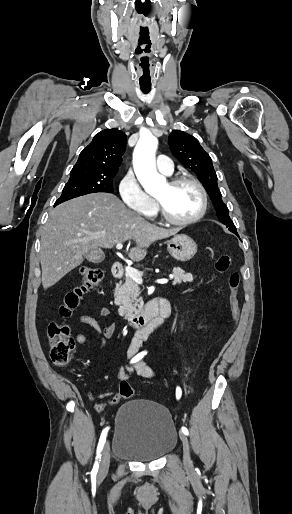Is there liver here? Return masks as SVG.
Instances as JSON below:
<instances>
[{
  "label": "liver",
  "mask_w": 292,
  "mask_h": 514,
  "mask_svg": "<svg viewBox=\"0 0 292 514\" xmlns=\"http://www.w3.org/2000/svg\"><path fill=\"white\" fill-rule=\"evenodd\" d=\"M180 228L165 230L146 222L136 212L127 210L113 194H87L50 210L43 226L40 248L42 286H54L68 272L80 266L83 256L98 248H112L119 242L135 240L137 246L128 256L140 262L145 248L156 240L170 238ZM95 236V238H93Z\"/></svg>",
  "instance_id": "6515ba94"
}]
</instances>
